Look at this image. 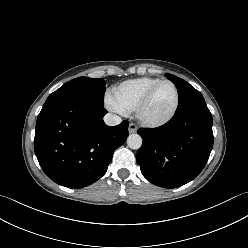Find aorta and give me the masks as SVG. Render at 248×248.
<instances>
[{"label": "aorta", "instance_id": "aorta-1", "mask_svg": "<svg viewBox=\"0 0 248 248\" xmlns=\"http://www.w3.org/2000/svg\"><path fill=\"white\" fill-rule=\"evenodd\" d=\"M142 137L138 134H131L127 138V145L131 149H139L142 146Z\"/></svg>", "mask_w": 248, "mask_h": 248}]
</instances>
